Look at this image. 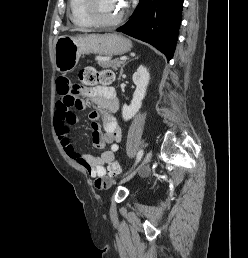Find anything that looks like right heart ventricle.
<instances>
[{
	"label": "right heart ventricle",
	"mask_w": 248,
	"mask_h": 258,
	"mask_svg": "<svg viewBox=\"0 0 248 258\" xmlns=\"http://www.w3.org/2000/svg\"><path fill=\"white\" fill-rule=\"evenodd\" d=\"M84 0H70L69 7L72 22L81 27H90L93 24L87 18L83 9Z\"/></svg>",
	"instance_id": "obj_1"
}]
</instances>
